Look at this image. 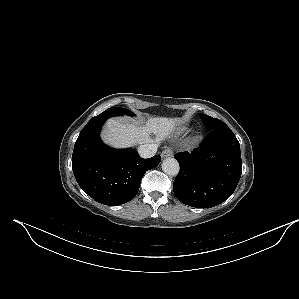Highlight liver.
<instances>
[{
	"mask_svg": "<svg viewBox=\"0 0 299 299\" xmlns=\"http://www.w3.org/2000/svg\"><path fill=\"white\" fill-rule=\"evenodd\" d=\"M178 121L176 118L153 117L144 126H136L126 120L110 119L102 132V138L115 148L159 143L174 131Z\"/></svg>",
	"mask_w": 299,
	"mask_h": 299,
	"instance_id": "1",
	"label": "liver"
}]
</instances>
